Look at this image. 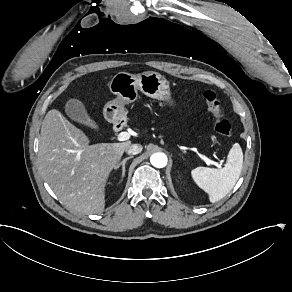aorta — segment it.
I'll return each mask as SVG.
<instances>
[{"label":"aorta","instance_id":"1","mask_svg":"<svg viewBox=\"0 0 292 292\" xmlns=\"http://www.w3.org/2000/svg\"><path fill=\"white\" fill-rule=\"evenodd\" d=\"M151 164L156 168H164L167 163L168 159L164 153H156L153 154L150 158Z\"/></svg>","mask_w":292,"mask_h":292}]
</instances>
